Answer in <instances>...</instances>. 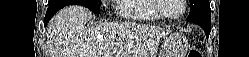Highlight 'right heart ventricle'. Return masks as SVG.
<instances>
[{"instance_id":"right-heart-ventricle-1","label":"right heart ventricle","mask_w":249,"mask_h":57,"mask_svg":"<svg viewBox=\"0 0 249 57\" xmlns=\"http://www.w3.org/2000/svg\"><path fill=\"white\" fill-rule=\"evenodd\" d=\"M119 15L130 21H157L161 17L153 10L154 0H120Z\"/></svg>"}]
</instances>
